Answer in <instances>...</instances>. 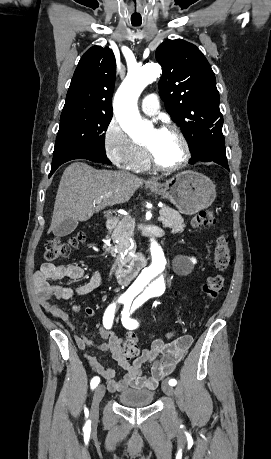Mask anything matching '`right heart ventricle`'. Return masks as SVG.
I'll return each instance as SVG.
<instances>
[{
  "mask_svg": "<svg viewBox=\"0 0 271 459\" xmlns=\"http://www.w3.org/2000/svg\"><path fill=\"white\" fill-rule=\"evenodd\" d=\"M151 167V162L145 150L144 154L138 158L136 161L133 162L130 168L135 171H146Z\"/></svg>",
  "mask_w": 271,
  "mask_h": 459,
  "instance_id": "obj_1",
  "label": "right heart ventricle"
}]
</instances>
